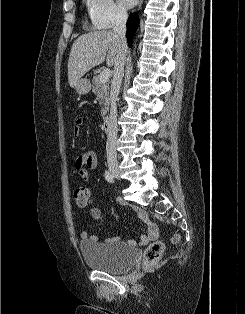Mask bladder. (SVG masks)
<instances>
[{
	"label": "bladder",
	"instance_id": "obj_1",
	"mask_svg": "<svg viewBox=\"0 0 245 314\" xmlns=\"http://www.w3.org/2000/svg\"><path fill=\"white\" fill-rule=\"evenodd\" d=\"M79 250L88 266L109 273H118L131 267L137 258V251L121 242L84 241Z\"/></svg>",
	"mask_w": 245,
	"mask_h": 314
}]
</instances>
